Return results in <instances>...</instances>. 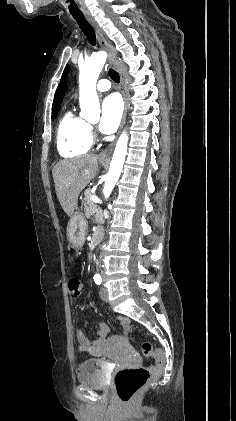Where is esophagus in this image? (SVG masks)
<instances>
[{"label":"esophagus","mask_w":236,"mask_h":421,"mask_svg":"<svg viewBox=\"0 0 236 421\" xmlns=\"http://www.w3.org/2000/svg\"><path fill=\"white\" fill-rule=\"evenodd\" d=\"M86 19L88 20V22L94 28L100 47L103 50H106L108 52L109 63L115 64L117 54H116V51L113 48V45L106 39V37L104 35V32L102 31L99 24L96 22V20L92 16L86 15ZM119 74H120V90H121V94H122L123 100H124L123 116H122L121 124H120V127H119V131H118V134H117L115 140L104 151H102L98 155V159L102 160V161H109L110 160V157H111L113 149L115 147L118 135H119V133H121V130L124 126L125 118H126L127 98H126V94H125V91H124V79H123V75H122L121 71H119Z\"/></svg>","instance_id":"1"}]
</instances>
